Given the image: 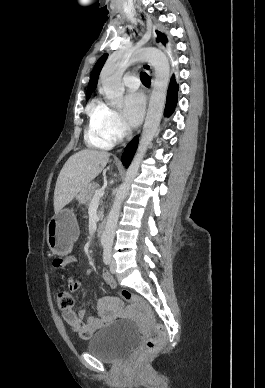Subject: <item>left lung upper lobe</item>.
I'll return each mask as SVG.
<instances>
[{
    "label": "left lung upper lobe",
    "mask_w": 265,
    "mask_h": 388,
    "mask_svg": "<svg viewBox=\"0 0 265 388\" xmlns=\"http://www.w3.org/2000/svg\"><path fill=\"white\" fill-rule=\"evenodd\" d=\"M157 33V42L161 41L163 44H165L167 42V38L165 35H163L161 32L159 31H156Z\"/></svg>",
    "instance_id": "1"
}]
</instances>
